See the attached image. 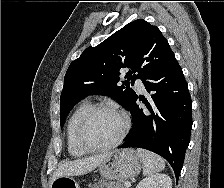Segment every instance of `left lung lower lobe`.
Here are the masks:
<instances>
[{"label": "left lung lower lobe", "mask_w": 224, "mask_h": 188, "mask_svg": "<svg viewBox=\"0 0 224 188\" xmlns=\"http://www.w3.org/2000/svg\"><path fill=\"white\" fill-rule=\"evenodd\" d=\"M143 84L153 93L150 103L142 100L147 110L140 109L136 97L129 110L132 129L119 148L139 147L157 153L170 163L178 181L190 141L192 103L175 56L148 76Z\"/></svg>", "instance_id": "left-lung-lower-lobe-1"}]
</instances>
